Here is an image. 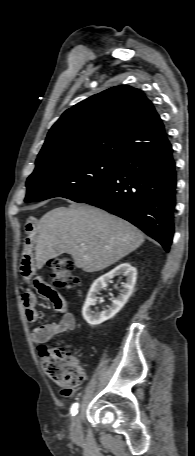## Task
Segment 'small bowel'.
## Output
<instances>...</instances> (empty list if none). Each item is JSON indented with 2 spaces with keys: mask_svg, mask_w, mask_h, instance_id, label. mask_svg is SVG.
I'll return each instance as SVG.
<instances>
[{
  "mask_svg": "<svg viewBox=\"0 0 195 456\" xmlns=\"http://www.w3.org/2000/svg\"><path fill=\"white\" fill-rule=\"evenodd\" d=\"M36 229V220L34 218H28L24 225L26 237L20 266L21 274L23 278L27 280L34 274L32 247L36 239ZM33 285L39 294L49 299L53 303L55 310L62 315L56 321L35 327L31 332L33 342L42 345L60 333L74 330L76 327V319L75 316L67 310L63 297L42 277H35ZM21 301L26 320L30 323L35 322L38 318V313L36 309L37 298L34 292L31 290L24 291L21 296ZM61 393L64 396H70L73 393V390L63 389Z\"/></svg>",
  "mask_w": 195,
  "mask_h": 456,
  "instance_id": "small-bowel-1",
  "label": "small bowel"
}]
</instances>
